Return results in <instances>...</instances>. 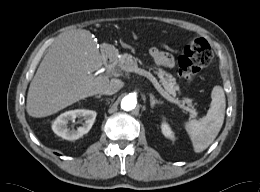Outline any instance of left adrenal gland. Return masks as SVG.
<instances>
[{"mask_svg": "<svg viewBox=\"0 0 260 192\" xmlns=\"http://www.w3.org/2000/svg\"><path fill=\"white\" fill-rule=\"evenodd\" d=\"M149 96H150L151 108H154V106L156 104H161L162 103L161 101H158L157 99H155L153 94H150Z\"/></svg>", "mask_w": 260, "mask_h": 192, "instance_id": "obj_1", "label": "left adrenal gland"}]
</instances>
